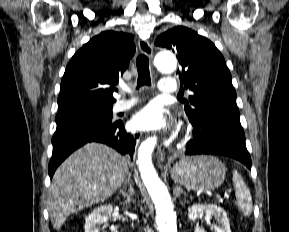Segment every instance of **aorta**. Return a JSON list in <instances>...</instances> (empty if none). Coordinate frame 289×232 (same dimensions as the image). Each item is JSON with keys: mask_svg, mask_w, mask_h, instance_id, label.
Returning a JSON list of instances; mask_svg holds the SVG:
<instances>
[{"mask_svg": "<svg viewBox=\"0 0 289 232\" xmlns=\"http://www.w3.org/2000/svg\"><path fill=\"white\" fill-rule=\"evenodd\" d=\"M155 66L160 72L172 73L177 66L176 58L172 54L160 52L155 58ZM155 145V137L146 139L139 147L137 163L142 181L155 205L158 231L177 232L176 214L171 197L152 164V152Z\"/></svg>", "mask_w": 289, "mask_h": 232, "instance_id": "obj_1", "label": "aorta"}]
</instances>
